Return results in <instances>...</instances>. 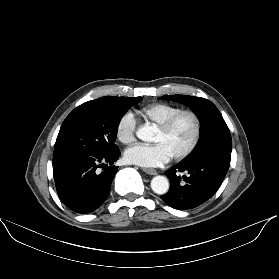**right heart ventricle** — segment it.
Listing matches in <instances>:
<instances>
[{
  "label": "right heart ventricle",
  "mask_w": 279,
  "mask_h": 279,
  "mask_svg": "<svg viewBox=\"0 0 279 279\" xmlns=\"http://www.w3.org/2000/svg\"><path fill=\"white\" fill-rule=\"evenodd\" d=\"M181 108L168 103H152L138 110L140 117L147 123L159 126L170 116L180 111Z\"/></svg>",
  "instance_id": "e07e8e85"
}]
</instances>
